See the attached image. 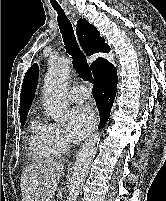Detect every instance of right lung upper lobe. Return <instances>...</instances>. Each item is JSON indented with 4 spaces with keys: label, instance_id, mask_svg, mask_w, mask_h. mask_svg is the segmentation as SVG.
I'll list each match as a JSON object with an SVG mask.
<instances>
[{
    "label": "right lung upper lobe",
    "instance_id": "obj_1",
    "mask_svg": "<svg viewBox=\"0 0 166 201\" xmlns=\"http://www.w3.org/2000/svg\"><path fill=\"white\" fill-rule=\"evenodd\" d=\"M76 32L81 47L88 56L105 52L109 53L110 47L105 43V39L100 37V34L95 26L91 25L86 19H79L77 22ZM108 63L104 58H97L92 64L91 69L93 75L103 66ZM38 81V66L34 64L25 74L21 94H20V118L27 117L30 109L35 89Z\"/></svg>",
    "mask_w": 166,
    "mask_h": 201
}]
</instances>
